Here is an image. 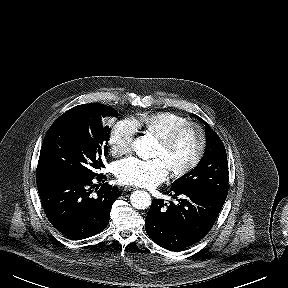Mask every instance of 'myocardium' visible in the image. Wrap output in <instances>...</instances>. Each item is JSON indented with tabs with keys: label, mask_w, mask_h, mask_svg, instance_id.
I'll return each mask as SVG.
<instances>
[{
	"label": "myocardium",
	"mask_w": 288,
	"mask_h": 288,
	"mask_svg": "<svg viewBox=\"0 0 288 288\" xmlns=\"http://www.w3.org/2000/svg\"><path fill=\"white\" fill-rule=\"evenodd\" d=\"M188 130H194L198 134L199 138V143L198 147L196 150L195 155L192 157L190 161H188L185 165L171 169L170 173L173 178H180L191 172L202 160L205 149H206V144H207V138H206V133L204 128L192 121H187L185 123H182L171 130H169L167 133L159 137V142L165 146V147H170L180 135H182L184 132Z\"/></svg>",
	"instance_id": "obj_1"
}]
</instances>
